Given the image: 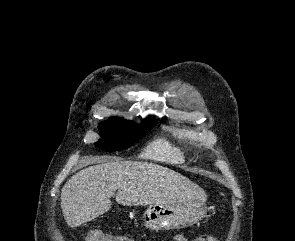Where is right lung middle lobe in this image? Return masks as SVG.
<instances>
[{"label": "right lung middle lobe", "instance_id": "right-lung-middle-lobe-1", "mask_svg": "<svg viewBox=\"0 0 295 241\" xmlns=\"http://www.w3.org/2000/svg\"><path fill=\"white\" fill-rule=\"evenodd\" d=\"M155 124L152 118H147L140 125H135L131 121L113 117L98 126L102 138L95 145L106 151L126 149L149 132Z\"/></svg>", "mask_w": 295, "mask_h": 241}]
</instances>
